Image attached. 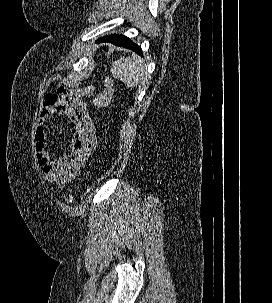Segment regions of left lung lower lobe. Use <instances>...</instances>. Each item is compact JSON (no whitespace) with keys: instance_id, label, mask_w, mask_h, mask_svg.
Instances as JSON below:
<instances>
[{"instance_id":"0a47b994","label":"left lung lower lobe","mask_w":272,"mask_h":303,"mask_svg":"<svg viewBox=\"0 0 272 303\" xmlns=\"http://www.w3.org/2000/svg\"><path fill=\"white\" fill-rule=\"evenodd\" d=\"M99 42L101 41H108L113 43L116 46H122L131 50H134L135 52H137L139 55H143L142 54V50L139 46H137L135 43H133L129 38H127L126 36L123 35H110V36H105L103 38H100L98 40Z\"/></svg>"}]
</instances>
